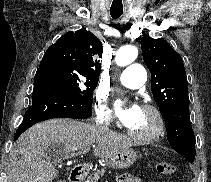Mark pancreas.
I'll return each mask as SVG.
<instances>
[{
    "label": "pancreas",
    "instance_id": "cf45deb5",
    "mask_svg": "<svg viewBox=\"0 0 211 182\" xmlns=\"http://www.w3.org/2000/svg\"><path fill=\"white\" fill-rule=\"evenodd\" d=\"M104 173H105V168L97 170V172L91 174L88 177V181L87 182H98V180L100 179L101 176L104 175Z\"/></svg>",
    "mask_w": 211,
    "mask_h": 182
}]
</instances>
